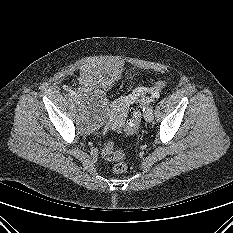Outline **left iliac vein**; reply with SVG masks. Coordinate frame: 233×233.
Instances as JSON below:
<instances>
[{
    "label": "left iliac vein",
    "instance_id": "obj_1",
    "mask_svg": "<svg viewBox=\"0 0 233 233\" xmlns=\"http://www.w3.org/2000/svg\"><path fill=\"white\" fill-rule=\"evenodd\" d=\"M144 118L147 122H151L154 119L153 111L147 110L144 114Z\"/></svg>",
    "mask_w": 233,
    "mask_h": 233
}]
</instances>
